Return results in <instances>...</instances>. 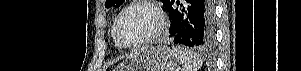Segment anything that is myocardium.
<instances>
[{
	"label": "myocardium",
	"instance_id": "obj_1",
	"mask_svg": "<svg viewBox=\"0 0 301 71\" xmlns=\"http://www.w3.org/2000/svg\"><path fill=\"white\" fill-rule=\"evenodd\" d=\"M133 7H145L147 9H149L156 17L157 20V24H156V28L154 29V31L148 35L146 38L136 42V43H125L119 35V24L121 21V18L123 17V15L125 14V12H127L129 9L133 8ZM166 18L164 13L162 12V10L155 5L154 3L150 2V1H133L129 4H127L125 7L122 8V10L119 12V14L117 15L114 24H113V35H114V39L117 42V44L122 47V48H128V49H135V48H139L145 45H148L152 42H154L158 37H160L162 35V33L164 32L165 28H166Z\"/></svg>",
	"mask_w": 301,
	"mask_h": 71
}]
</instances>
